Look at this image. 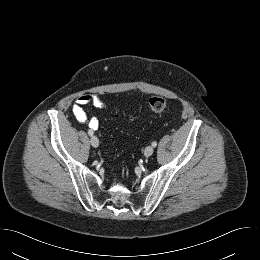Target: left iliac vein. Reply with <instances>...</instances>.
Here are the masks:
<instances>
[{"label":"left iliac vein","mask_w":260,"mask_h":260,"mask_svg":"<svg viewBox=\"0 0 260 260\" xmlns=\"http://www.w3.org/2000/svg\"><path fill=\"white\" fill-rule=\"evenodd\" d=\"M153 152H154L153 146H147L145 151H144V155L146 157H149V156H151L153 154Z\"/></svg>","instance_id":"left-iliac-vein-1"}]
</instances>
